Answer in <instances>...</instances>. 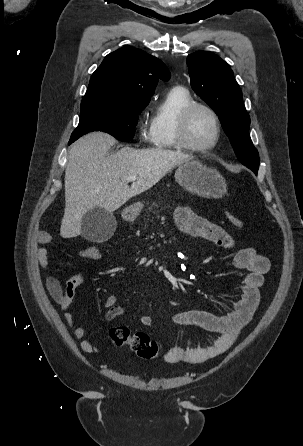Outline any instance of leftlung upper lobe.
<instances>
[{
    "label": "left lung upper lobe",
    "instance_id": "5c2ea615",
    "mask_svg": "<svg viewBox=\"0 0 303 446\" xmlns=\"http://www.w3.org/2000/svg\"><path fill=\"white\" fill-rule=\"evenodd\" d=\"M187 65L192 89L218 115L239 161L257 174L259 156L249 135L250 117L229 64L212 52L197 51L187 57Z\"/></svg>",
    "mask_w": 303,
    "mask_h": 446
}]
</instances>
